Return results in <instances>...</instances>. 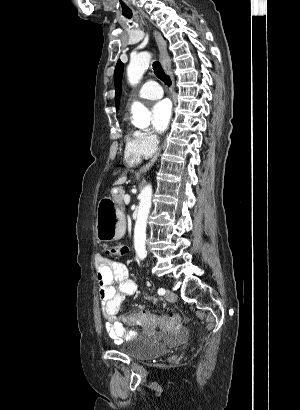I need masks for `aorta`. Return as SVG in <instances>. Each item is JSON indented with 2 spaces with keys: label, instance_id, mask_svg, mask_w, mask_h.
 Masks as SVG:
<instances>
[{
  "label": "aorta",
  "instance_id": "1",
  "mask_svg": "<svg viewBox=\"0 0 300 410\" xmlns=\"http://www.w3.org/2000/svg\"><path fill=\"white\" fill-rule=\"evenodd\" d=\"M151 54L141 52L133 56L127 67V78L131 85H136L141 80L150 63ZM132 124L140 129H145L150 125L151 113L140 102H134L131 106ZM140 202L137 213V220L134 228V248L139 259L146 258L145 247L147 219L152 204V186L146 185L139 195Z\"/></svg>",
  "mask_w": 300,
  "mask_h": 410
}]
</instances>
